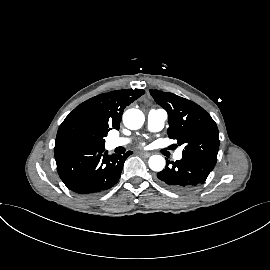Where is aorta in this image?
Segmentation results:
<instances>
[{"label": "aorta", "instance_id": "1", "mask_svg": "<svg viewBox=\"0 0 270 270\" xmlns=\"http://www.w3.org/2000/svg\"><path fill=\"white\" fill-rule=\"evenodd\" d=\"M145 117L139 109H128L123 114L124 125L131 130H137L142 127ZM149 167L153 171H162L165 167V159L161 155H153L149 158Z\"/></svg>", "mask_w": 270, "mask_h": 270}]
</instances>
